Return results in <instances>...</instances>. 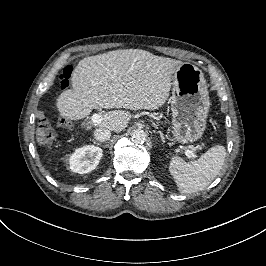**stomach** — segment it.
Returning <instances> with one entry per match:
<instances>
[{
	"instance_id": "1",
	"label": "stomach",
	"mask_w": 266,
	"mask_h": 266,
	"mask_svg": "<svg viewBox=\"0 0 266 266\" xmlns=\"http://www.w3.org/2000/svg\"><path fill=\"white\" fill-rule=\"evenodd\" d=\"M173 135L178 142H193L206 129L210 101L203 72L191 63L180 64L172 77Z\"/></svg>"
}]
</instances>
